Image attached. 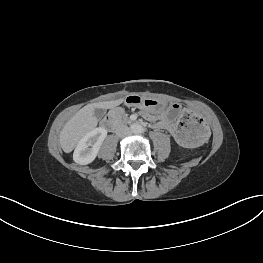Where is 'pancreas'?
Listing matches in <instances>:
<instances>
[{"label":"pancreas","instance_id":"pancreas-1","mask_svg":"<svg viewBox=\"0 0 263 263\" xmlns=\"http://www.w3.org/2000/svg\"><path fill=\"white\" fill-rule=\"evenodd\" d=\"M112 119L115 121L116 124L128 123L129 118L119 109H115L111 113Z\"/></svg>","mask_w":263,"mask_h":263}]
</instances>
